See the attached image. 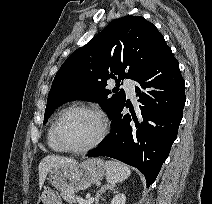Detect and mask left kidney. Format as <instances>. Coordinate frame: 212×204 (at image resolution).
<instances>
[{
  "label": "left kidney",
  "instance_id": "obj_1",
  "mask_svg": "<svg viewBox=\"0 0 212 204\" xmlns=\"http://www.w3.org/2000/svg\"><path fill=\"white\" fill-rule=\"evenodd\" d=\"M126 196L123 193H119L113 197L111 204H125Z\"/></svg>",
  "mask_w": 212,
  "mask_h": 204
}]
</instances>
